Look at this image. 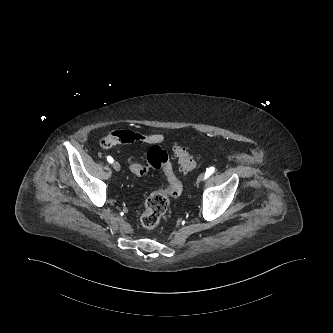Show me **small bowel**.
<instances>
[{"label": "small bowel", "mask_w": 333, "mask_h": 333, "mask_svg": "<svg viewBox=\"0 0 333 333\" xmlns=\"http://www.w3.org/2000/svg\"><path fill=\"white\" fill-rule=\"evenodd\" d=\"M112 138L115 143H145L150 145L160 144L165 140L163 134L160 133H152V134H144L138 133L128 130H118L111 133Z\"/></svg>", "instance_id": "small-bowel-1"}]
</instances>
